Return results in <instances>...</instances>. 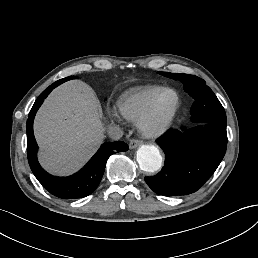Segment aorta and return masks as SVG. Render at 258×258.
I'll return each instance as SVG.
<instances>
[{
    "instance_id": "762f6f07",
    "label": "aorta",
    "mask_w": 258,
    "mask_h": 258,
    "mask_svg": "<svg viewBox=\"0 0 258 258\" xmlns=\"http://www.w3.org/2000/svg\"><path fill=\"white\" fill-rule=\"evenodd\" d=\"M137 163L141 170L156 172L162 165V155L158 147L154 145H143L137 151Z\"/></svg>"
}]
</instances>
